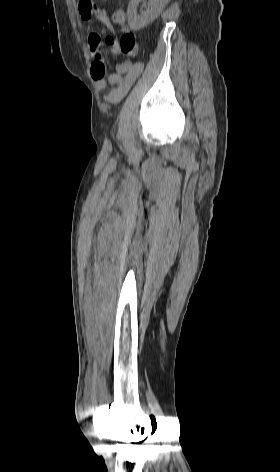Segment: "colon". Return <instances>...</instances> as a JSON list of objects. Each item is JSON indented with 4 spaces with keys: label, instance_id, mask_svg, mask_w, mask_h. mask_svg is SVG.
I'll return each mask as SVG.
<instances>
[{
    "label": "colon",
    "instance_id": "obj_1",
    "mask_svg": "<svg viewBox=\"0 0 280 472\" xmlns=\"http://www.w3.org/2000/svg\"><path fill=\"white\" fill-rule=\"evenodd\" d=\"M91 2L88 1V7L91 8ZM120 52L127 58H133L137 55V43L135 36L131 32H125L119 41Z\"/></svg>",
    "mask_w": 280,
    "mask_h": 472
}]
</instances>
